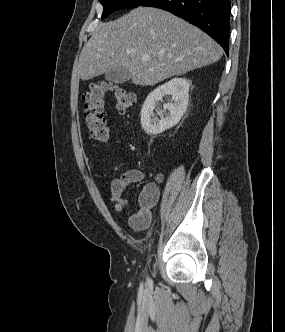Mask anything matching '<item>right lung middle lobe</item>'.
I'll use <instances>...</instances> for the list:
<instances>
[{
  "label": "right lung middle lobe",
  "instance_id": "1",
  "mask_svg": "<svg viewBox=\"0 0 285 332\" xmlns=\"http://www.w3.org/2000/svg\"><path fill=\"white\" fill-rule=\"evenodd\" d=\"M146 1L147 0H99L104 7L102 19L115 10L138 7Z\"/></svg>",
  "mask_w": 285,
  "mask_h": 332
}]
</instances>
